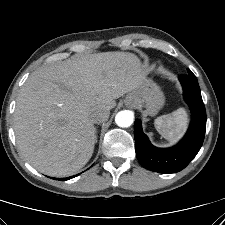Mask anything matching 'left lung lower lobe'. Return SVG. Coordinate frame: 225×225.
Masks as SVG:
<instances>
[{
    "label": "left lung lower lobe",
    "mask_w": 225,
    "mask_h": 225,
    "mask_svg": "<svg viewBox=\"0 0 225 225\" xmlns=\"http://www.w3.org/2000/svg\"><path fill=\"white\" fill-rule=\"evenodd\" d=\"M184 99L192 111V122L185 137L175 147L161 149L152 146L143 133L141 122L135 121L136 155L146 169L158 173H175L184 169L199 152L206 131V111L197 78L194 74L181 75Z\"/></svg>",
    "instance_id": "obj_1"
}]
</instances>
